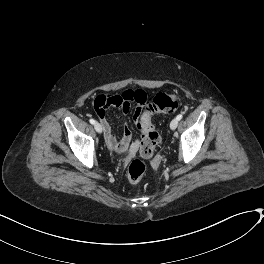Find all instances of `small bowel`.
<instances>
[{
  "instance_id": "1",
  "label": "small bowel",
  "mask_w": 264,
  "mask_h": 264,
  "mask_svg": "<svg viewBox=\"0 0 264 264\" xmlns=\"http://www.w3.org/2000/svg\"><path fill=\"white\" fill-rule=\"evenodd\" d=\"M137 92L142 94V101L135 97ZM145 100L146 95L143 91L130 89L125 90L121 95H99L95 98L94 107L103 127L106 145L111 152L116 154L125 153L130 143L132 133L128 123H125L123 126V136L121 139H118L114 134L113 127L108 120V109L113 107L121 110L124 113H128L130 109V101L141 104L145 102ZM141 117L142 112L141 110L137 109L134 115V122L137 124ZM140 144L141 141L139 139L135 140L129 148V153L133 154L139 148Z\"/></svg>"
}]
</instances>
